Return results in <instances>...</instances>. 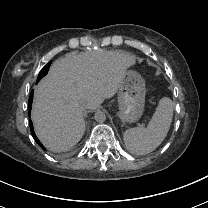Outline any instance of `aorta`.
<instances>
[{"label": "aorta", "instance_id": "aorta-1", "mask_svg": "<svg viewBox=\"0 0 208 208\" xmlns=\"http://www.w3.org/2000/svg\"><path fill=\"white\" fill-rule=\"evenodd\" d=\"M94 119L99 123H103L106 120V114L102 111H97L94 115Z\"/></svg>", "mask_w": 208, "mask_h": 208}]
</instances>
